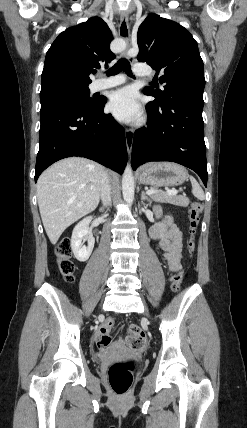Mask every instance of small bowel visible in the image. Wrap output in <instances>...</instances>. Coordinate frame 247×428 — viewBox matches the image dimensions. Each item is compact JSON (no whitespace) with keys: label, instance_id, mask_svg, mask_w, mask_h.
<instances>
[{"label":"small bowel","instance_id":"c3829d8e","mask_svg":"<svg viewBox=\"0 0 247 428\" xmlns=\"http://www.w3.org/2000/svg\"><path fill=\"white\" fill-rule=\"evenodd\" d=\"M151 236L160 241L169 272L178 271L181 267L183 236L182 232L172 223L171 217L167 216L163 221L155 224L151 228ZM100 336L101 331L97 337Z\"/></svg>","mask_w":247,"mask_h":428}]
</instances>
